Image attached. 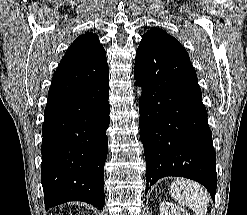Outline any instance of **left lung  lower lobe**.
Segmentation results:
<instances>
[{"label":"left lung lower lobe","mask_w":247,"mask_h":215,"mask_svg":"<svg viewBox=\"0 0 247 215\" xmlns=\"http://www.w3.org/2000/svg\"><path fill=\"white\" fill-rule=\"evenodd\" d=\"M134 74L143 88L139 127L147 164L145 194L160 178L179 176L203 184L215 201L216 154L188 54L142 40Z\"/></svg>","instance_id":"obj_1"}]
</instances>
